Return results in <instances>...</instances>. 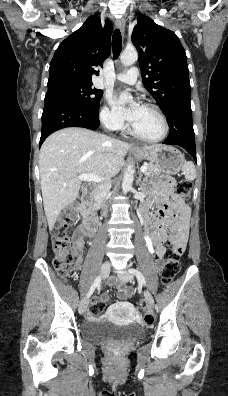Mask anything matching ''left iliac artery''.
Masks as SVG:
<instances>
[{
  "label": "left iliac artery",
  "mask_w": 228,
  "mask_h": 396,
  "mask_svg": "<svg viewBox=\"0 0 228 396\" xmlns=\"http://www.w3.org/2000/svg\"><path fill=\"white\" fill-rule=\"evenodd\" d=\"M129 272L136 276V278L138 279L139 283H141L143 285H146L145 278H144L143 274L139 270L130 269Z\"/></svg>",
  "instance_id": "1"
}]
</instances>
